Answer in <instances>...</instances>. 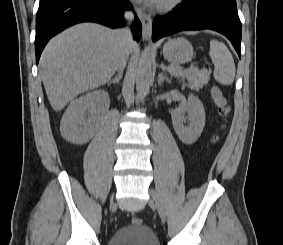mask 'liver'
I'll list each match as a JSON object with an SVG mask.
<instances>
[{
	"instance_id": "obj_1",
	"label": "liver",
	"mask_w": 283,
	"mask_h": 245,
	"mask_svg": "<svg viewBox=\"0 0 283 245\" xmlns=\"http://www.w3.org/2000/svg\"><path fill=\"white\" fill-rule=\"evenodd\" d=\"M125 44L119 33L95 23H82L55 36L39 62L40 75L55 111L81 93L106 84L115 73Z\"/></svg>"
}]
</instances>
